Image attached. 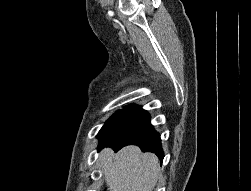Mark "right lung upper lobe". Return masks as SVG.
Masks as SVG:
<instances>
[{
    "label": "right lung upper lobe",
    "mask_w": 251,
    "mask_h": 191,
    "mask_svg": "<svg viewBox=\"0 0 251 191\" xmlns=\"http://www.w3.org/2000/svg\"><path fill=\"white\" fill-rule=\"evenodd\" d=\"M126 108L143 110L140 106H137V105H130V106H127ZM143 111H144V110H143Z\"/></svg>",
    "instance_id": "right-lung-upper-lobe-1"
}]
</instances>
